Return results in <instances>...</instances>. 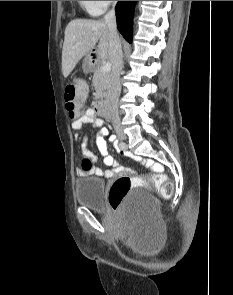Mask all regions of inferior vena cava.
I'll return each mask as SVG.
<instances>
[{
    "label": "inferior vena cava",
    "mask_w": 233,
    "mask_h": 295,
    "mask_svg": "<svg viewBox=\"0 0 233 295\" xmlns=\"http://www.w3.org/2000/svg\"><path fill=\"white\" fill-rule=\"evenodd\" d=\"M104 21L110 32L109 57L112 63L110 91L107 96L106 106L110 109L113 116L118 117V99L121 92L120 74L123 68V60L121 42L117 34L114 8L104 16Z\"/></svg>",
    "instance_id": "inferior-vena-cava-1"
}]
</instances>
